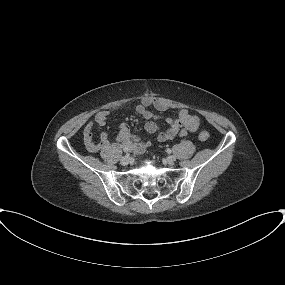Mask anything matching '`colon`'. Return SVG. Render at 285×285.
Here are the masks:
<instances>
[{
	"label": "colon",
	"instance_id": "colon-1",
	"mask_svg": "<svg viewBox=\"0 0 285 285\" xmlns=\"http://www.w3.org/2000/svg\"><path fill=\"white\" fill-rule=\"evenodd\" d=\"M199 139L201 141H207L209 139V133L206 132V131H202L200 134H199Z\"/></svg>",
	"mask_w": 285,
	"mask_h": 285
}]
</instances>
